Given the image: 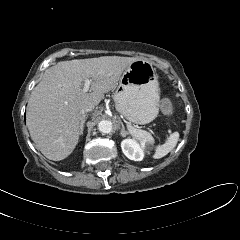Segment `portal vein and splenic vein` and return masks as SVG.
Returning <instances> with one entry per match:
<instances>
[{
    "label": "portal vein and splenic vein",
    "instance_id": "obj_1",
    "mask_svg": "<svg viewBox=\"0 0 240 240\" xmlns=\"http://www.w3.org/2000/svg\"><path fill=\"white\" fill-rule=\"evenodd\" d=\"M91 82H92L91 79H86V80H85V82H84V87H83V89H82V91H83L84 93H86V92L89 91Z\"/></svg>",
    "mask_w": 240,
    "mask_h": 240
}]
</instances>
